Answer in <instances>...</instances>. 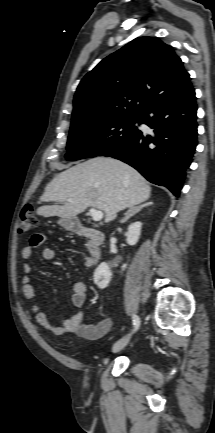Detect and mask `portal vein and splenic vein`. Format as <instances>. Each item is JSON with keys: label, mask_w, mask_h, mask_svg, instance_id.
Here are the masks:
<instances>
[{"label": "portal vein and splenic vein", "mask_w": 215, "mask_h": 433, "mask_svg": "<svg viewBox=\"0 0 215 433\" xmlns=\"http://www.w3.org/2000/svg\"><path fill=\"white\" fill-rule=\"evenodd\" d=\"M68 201H71V199H68ZM89 213L95 222L102 220L104 215L102 211L96 210L95 208H90Z\"/></svg>", "instance_id": "portal-vein-and-splenic-vein-1"}]
</instances>
